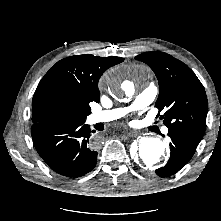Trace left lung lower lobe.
<instances>
[{
	"instance_id": "obj_1",
	"label": "left lung lower lobe",
	"mask_w": 221,
	"mask_h": 221,
	"mask_svg": "<svg viewBox=\"0 0 221 221\" xmlns=\"http://www.w3.org/2000/svg\"><path fill=\"white\" fill-rule=\"evenodd\" d=\"M168 136L171 138V154L167 164L156 170V174L160 177L171 176L187 164L202 139L179 130H169Z\"/></svg>"
}]
</instances>
